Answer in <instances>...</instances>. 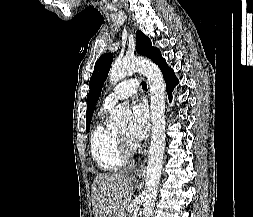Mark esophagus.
Returning <instances> with one entry per match:
<instances>
[{
  "label": "esophagus",
  "mask_w": 253,
  "mask_h": 217,
  "mask_svg": "<svg viewBox=\"0 0 253 217\" xmlns=\"http://www.w3.org/2000/svg\"><path fill=\"white\" fill-rule=\"evenodd\" d=\"M147 156H148V150L145 151V158L143 159L141 164L138 166V168L134 172V178L137 180H140L143 177V173L145 171L146 162H147Z\"/></svg>",
  "instance_id": "esophagus-1"
}]
</instances>
